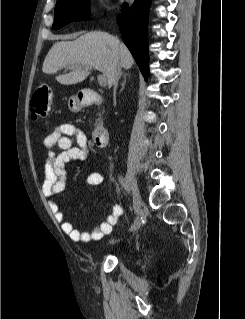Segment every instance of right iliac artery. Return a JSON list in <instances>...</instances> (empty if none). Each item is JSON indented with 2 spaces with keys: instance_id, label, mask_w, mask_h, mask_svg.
Here are the masks:
<instances>
[{
  "instance_id": "1",
  "label": "right iliac artery",
  "mask_w": 245,
  "mask_h": 319,
  "mask_svg": "<svg viewBox=\"0 0 245 319\" xmlns=\"http://www.w3.org/2000/svg\"><path fill=\"white\" fill-rule=\"evenodd\" d=\"M119 180H120V182L123 184V178L120 177ZM135 222H136V224H133V225L131 226V229H130L131 231H135V230H136V225L140 224V220H138V219H136ZM135 222H134V223H135Z\"/></svg>"
}]
</instances>
